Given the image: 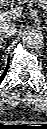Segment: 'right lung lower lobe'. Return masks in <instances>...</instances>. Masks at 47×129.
<instances>
[{
  "label": "right lung lower lobe",
  "instance_id": "right-lung-lower-lobe-1",
  "mask_svg": "<svg viewBox=\"0 0 47 129\" xmlns=\"http://www.w3.org/2000/svg\"><path fill=\"white\" fill-rule=\"evenodd\" d=\"M8 68H9V60H8V64H7V67H6L5 71H4V73L0 76V82L4 79V77H5V75H6L7 71H8Z\"/></svg>",
  "mask_w": 47,
  "mask_h": 129
}]
</instances>
